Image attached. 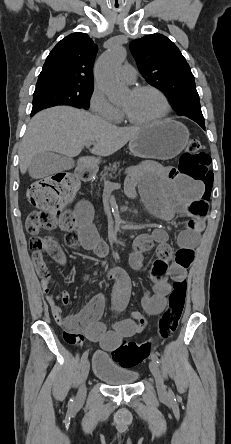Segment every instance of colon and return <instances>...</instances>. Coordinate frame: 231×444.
I'll list each match as a JSON object with an SVG mask.
<instances>
[{"mask_svg": "<svg viewBox=\"0 0 231 444\" xmlns=\"http://www.w3.org/2000/svg\"><path fill=\"white\" fill-rule=\"evenodd\" d=\"M179 170L193 181L210 186L213 174L210 170V157L197 139L189 141L179 162ZM78 188L76 179L69 174H55L34 182L28 190L29 202L38 210L32 212L26 222V229L31 235L30 248L33 256L43 253L59 262L65 257L58 241L49 235H40L43 230L54 229L61 216L68 215L64 208L72 201ZM205 192L201 202L194 205L197 214L206 212ZM194 228L195 223H190ZM42 285H50L51 275L48 270L40 275ZM187 282L185 279L173 281L169 305L158 321L156 340L166 341L176 331L185 305ZM153 343L126 342L111 352L113 359L123 367H134L144 362L150 355Z\"/></svg>", "mask_w": 231, "mask_h": 444, "instance_id": "obj_1", "label": "colon"}]
</instances>
